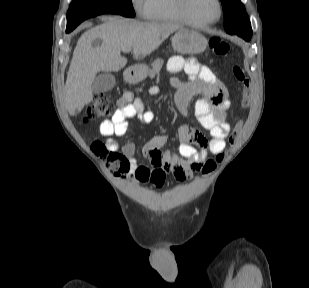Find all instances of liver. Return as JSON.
Here are the masks:
<instances>
[{"instance_id":"obj_1","label":"liver","mask_w":309,"mask_h":288,"mask_svg":"<svg viewBox=\"0 0 309 288\" xmlns=\"http://www.w3.org/2000/svg\"><path fill=\"white\" fill-rule=\"evenodd\" d=\"M178 29L179 25L171 23L113 17L84 32L67 73L65 104L69 114L76 115L92 101V84L98 72H117L126 66L127 59L121 55L123 47L133 48V57L142 59ZM95 41L101 44L94 45Z\"/></svg>"}]
</instances>
